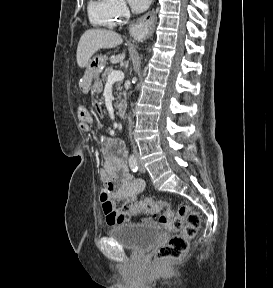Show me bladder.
Returning a JSON list of instances; mask_svg holds the SVG:
<instances>
[{"label":"bladder","instance_id":"obj_1","mask_svg":"<svg viewBox=\"0 0 273 288\" xmlns=\"http://www.w3.org/2000/svg\"><path fill=\"white\" fill-rule=\"evenodd\" d=\"M109 237L127 249L143 252L159 241L160 230L153 224L126 223L111 229Z\"/></svg>","mask_w":273,"mask_h":288}]
</instances>
